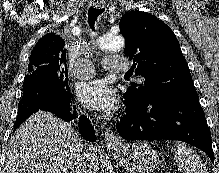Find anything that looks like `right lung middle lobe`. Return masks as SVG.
Instances as JSON below:
<instances>
[{"label":"right lung middle lobe","instance_id":"1","mask_svg":"<svg viewBox=\"0 0 219 173\" xmlns=\"http://www.w3.org/2000/svg\"><path fill=\"white\" fill-rule=\"evenodd\" d=\"M40 83L52 84L58 87L63 95L71 96L67 69L50 62L29 61L23 83L24 92L37 87Z\"/></svg>","mask_w":219,"mask_h":173}]
</instances>
